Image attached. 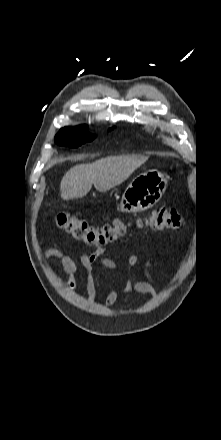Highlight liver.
Wrapping results in <instances>:
<instances>
[{
    "instance_id": "obj_1",
    "label": "liver",
    "mask_w": 221,
    "mask_h": 440,
    "mask_svg": "<svg viewBox=\"0 0 221 440\" xmlns=\"http://www.w3.org/2000/svg\"><path fill=\"white\" fill-rule=\"evenodd\" d=\"M147 159L139 155L111 156L93 163L76 165L61 180V198H82L88 194L92 185L99 192H106L124 182Z\"/></svg>"
}]
</instances>
